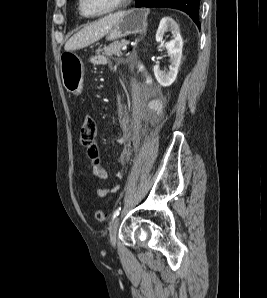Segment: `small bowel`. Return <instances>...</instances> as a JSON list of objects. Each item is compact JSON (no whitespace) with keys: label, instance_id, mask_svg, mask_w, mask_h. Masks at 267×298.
Segmentation results:
<instances>
[{"label":"small bowel","instance_id":"1","mask_svg":"<svg viewBox=\"0 0 267 298\" xmlns=\"http://www.w3.org/2000/svg\"><path fill=\"white\" fill-rule=\"evenodd\" d=\"M91 63L95 66L102 67L110 65L108 58L103 55H96L92 57ZM138 68L140 71L144 70V67L141 64H139ZM146 83L150 88H153V80L150 76H146ZM147 108L149 110L148 122L153 124L162 115L164 110L163 99L157 92H155L153 97L149 100ZM92 174L102 181H106L109 177L108 171L100 165H94L92 167ZM117 190V185L113 187H102L97 190V196L99 198H103L110 193H115Z\"/></svg>","mask_w":267,"mask_h":298}]
</instances>
